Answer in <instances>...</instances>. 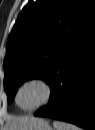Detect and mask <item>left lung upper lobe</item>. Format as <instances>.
<instances>
[{"label":"left lung upper lobe","mask_w":95,"mask_h":130,"mask_svg":"<svg viewBox=\"0 0 95 130\" xmlns=\"http://www.w3.org/2000/svg\"><path fill=\"white\" fill-rule=\"evenodd\" d=\"M94 13V0H34L22 9L9 35L3 63L9 103L26 80L40 78L50 85L66 47Z\"/></svg>","instance_id":"1"}]
</instances>
